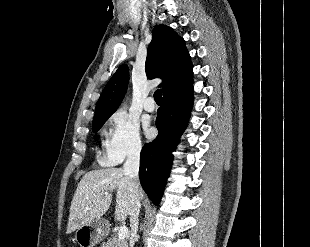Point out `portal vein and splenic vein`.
<instances>
[{"label": "portal vein and splenic vein", "mask_w": 310, "mask_h": 247, "mask_svg": "<svg viewBox=\"0 0 310 247\" xmlns=\"http://www.w3.org/2000/svg\"><path fill=\"white\" fill-rule=\"evenodd\" d=\"M127 235H128V228L126 226H121L118 231L119 240L125 239Z\"/></svg>", "instance_id": "1"}]
</instances>
